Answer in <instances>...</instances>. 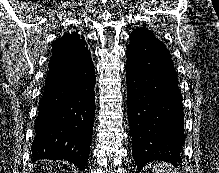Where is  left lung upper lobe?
<instances>
[{
	"label": "left lung upper lobe",
	"instance_id": "1",
	"mask_svg": "<svg viewBox=\"0 0 219 173\" xmlns=\"http://www.w3.org/2000/svg\"><path fill=\"white\" fill-rule=\"evenodd\" d=\"M140 31H149V30L144 29V28H137V29H135L133 32H140ZM133 32H132V33H133Z\"/></svg>",
	"mask_w": 219,
	"mask_h": 173
}]
</instances>
